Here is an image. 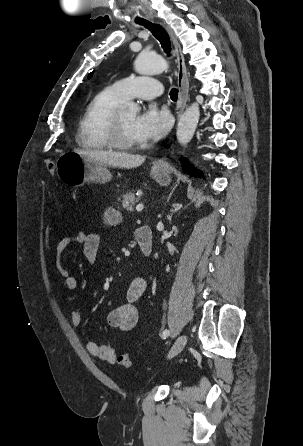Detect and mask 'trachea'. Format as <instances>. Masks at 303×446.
I'll use <instances>...</instances> for the list:
<instances>
[{"label": "trachea", "mask_w": 303, "mask_h": 446, "mask_svg": "<svg viewBox=\"0 0 303 446\" xmlns=\"http://www.w3.org/2000/svg\"><path fill=\"white\" fill-rule=\"evenodd\" d=\"M145 28L149 29L154 37L159 40L162 48L167 54H170L171 44L170 39L167 32L161 26L157 24H152L151 22H143L141 23ZM170 97L173 101H177L178 98V89L172 88L170 91Z\"/></svg>", "instance_id": "1"}]
</instances>
